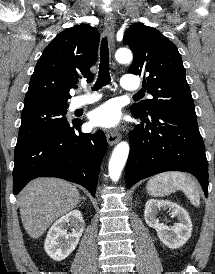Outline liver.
<instances>
[{
  "mask_svg": "<svg viewBox=\"0 0 215 274\" xmlns=\"http://www.w3.org/2000/svg\"><path fill=\"white\" fill-rule=\"evenodd\" d=\"M80 201L79 191L71 183L56 178H38L20 193V215L27 234L37 239L59 217Z\"/></svg>",
  "mask_w": 215,
  "mask_h": 274,
  "instance_id": "liver-1",
  "label": "liver"
}]
</instances>
